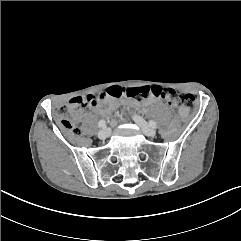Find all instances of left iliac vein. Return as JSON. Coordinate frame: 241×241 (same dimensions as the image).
<instances>
[{"label":"left iliac vein","mask_w":241,"mask_h":241,"mask_svg":"<svg viewBox=\"0 0 241 241\" xmlns=\"http://www.w3.org/2000/svg\"><path fill=\"white\" fill-rule=\"evenodd\" d=\"M133 120H134L135 123L140 127V129L142 130V132H143L146 136H148V137H153V136L156 134L155 130H154L153 128H151V127L147 124V122H146L143 118H141L140 116L135 115V116L133 117Z\"/></svg>","instance_id":"left-iliac-vein-1"}]
</instances>
